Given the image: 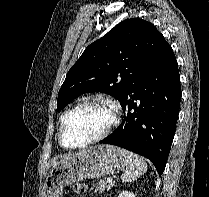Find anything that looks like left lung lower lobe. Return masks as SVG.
Returning a JSON list of instances; mask_svg holds the SVG:
<instances>
[{
  "label": "left lung lower lobe",
  "mask_w": 209,
  "mask_h": 197,
  "mask_svg": "<svg viewBox=\"0 0 209 197\" xmlns=\"http://www.w3.org/2000/svg\"><path fill=\"white\" fill-rule=\"evenodd\" d=\"M181 96L178 64L165 42L121 103L125 113L121 125L100 143L150 159L161 175L174 138Z\"/></svg>",
  "instance_id": "1"
}]
</instances>
